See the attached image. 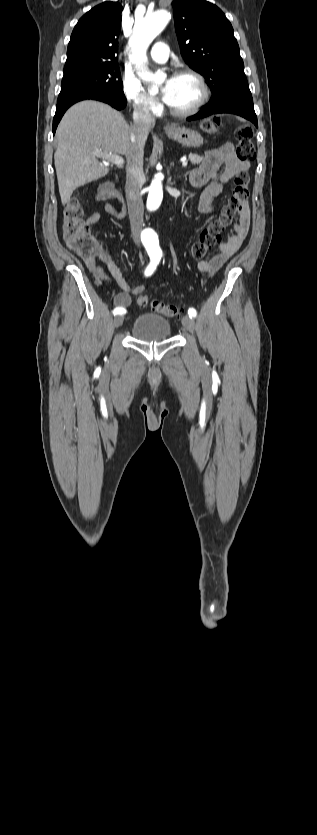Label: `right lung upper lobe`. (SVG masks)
<instances>
[{
	"label": "right lung upper lobe",
	"instance_id": "1",
	"mask_svg": "<svg viewBox=\"0 0 317 835\" xmlns=\"http://www.w3.org/2000/svg\"><path fill=\"white\" fill-rule=\"evenodd\" d=\"M123 7L104 2L87 12L76 24L67 49L66 64L75 62L118 64V36Z\"/></svg>",
	"mask_w": 317,
	"mask_h": 835
}]
</instances>
